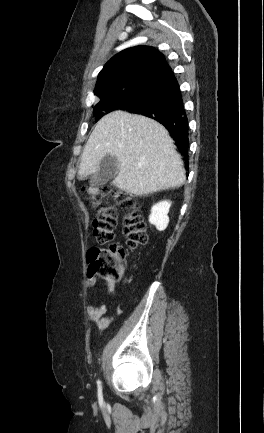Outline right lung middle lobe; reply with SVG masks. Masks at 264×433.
Listing matches in <instances>:
<instances>
[{"label":"right lung middle lobe","instance_id":"obj_1","mask_svg":"<svg viewBox=\"0 0 264 433\" xmlns=\"http://www.w3.org/2000/svg\"><path fill=\"white\" fill-rule=\"evenodd\" d=\"M141 85L126 88L122 91L115 92L100 98V101L94 106V115L98 121L105 114L117 110L127 109L139 92Z\"/></svg>","mask_w":264,"mask_h":433}]
</instances>
